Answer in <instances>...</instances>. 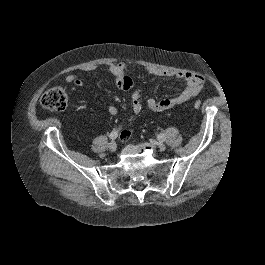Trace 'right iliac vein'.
Wrapping results in <instances>:
<instances>
[{
  "label": "right iliac vein",
  "mask_w": 265,
  "mask_h": 265,
  "mask_svg": "<svg viewBox=\"0 0 265 265\" xmlns=\"http://www.w3.org/2000/svg\"><path fill=\"white\" fill-rule=\"evenodd\" d=\"M109 150L111 151V152H115L116 151V149H117V144L114 142V141H112L110 144H109Z\"/></svg>",
  "instance_id": "obj_1"
}]
</instances>
